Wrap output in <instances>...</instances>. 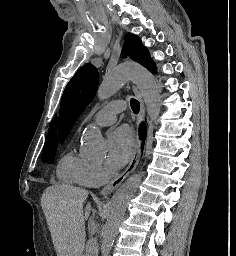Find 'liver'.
Instances as JSON below:
<instances>
[{"label": "liver", "instance_id": "1", "mask_svg": "<svg viewBox=\"0 0 236 256\" xmlns=\"http://www.w3.org/2000/svg\"><path fill=\"white\" fill-rule=\"evenodd\" d=\"M87 196V190L65 184H55L43 192L41 206L57 256H82L85 220L91 214V204L83 210Z\"/></svg>", "mask_w": 236, "mask_h": 256}]
</instances>
